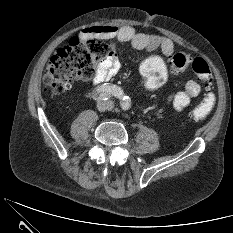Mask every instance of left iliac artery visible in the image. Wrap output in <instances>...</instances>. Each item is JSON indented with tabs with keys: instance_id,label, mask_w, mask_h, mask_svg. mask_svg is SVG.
I'll use <instances>...</instances> for the list:
<instances>
[{
	"instance_id": "44dca946",
	"label": "left iliac artery",
	"mask_w": 233,
	"mask_h": 233,
	"mask_svg": "<svg viewBox=\"0 0 233 233\" xmlns=\"http://www.w3.org/2000/svg\"><path fill=\"white\" fill-rule=\"evenodd\" d=\"M121 107L124 110H128L130 108V99L127 96H123L122 101H121Z\"/></svg>"
}]
</instances>
